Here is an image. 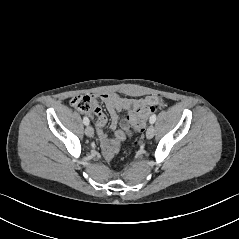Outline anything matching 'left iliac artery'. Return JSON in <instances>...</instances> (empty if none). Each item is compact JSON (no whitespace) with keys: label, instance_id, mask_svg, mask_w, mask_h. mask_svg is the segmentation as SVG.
<instances>
[{"label":"left iliac artery","instance_id":"left-iliac-artery-1","mask_svg":"<svg viewBox=\"0 0 239 239\" xmlns=\"http://www.w3.org/2000/svg\"><path fill=\"white\" fill-rule=\"evenodd\" d=\"M155 121H156V114H153V115L150 117L149 122H150L151 124H153Z\"/></svg>","mask_w":239,"mask_h":239}]
</instances>
